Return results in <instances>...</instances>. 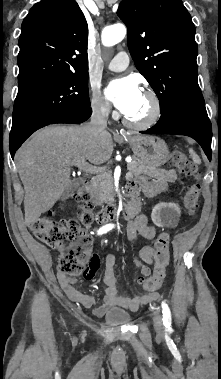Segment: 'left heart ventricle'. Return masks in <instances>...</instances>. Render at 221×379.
Wrapping results in <instances>:
<instances>
[{
    "mask_svg": "<svg viewBox=\"0 0 221 379\" xmlns=\"http://www.w3.org/2000/svg\"><path fill=\"white\" fill-rule=\"evenodd\" d=\"M151 111V103L149 99L143 94L137 106L126 116L131 120H143Z\"/></svg>",
    "mask_w": 221,
    "mask_h": 379,
    "instance_id": "b2bd125f",
    "label": "left heart ventricle"
}]
</instances>
